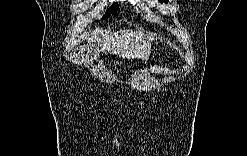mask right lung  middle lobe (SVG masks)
Listing matches in <instances>:
<instances>
[{"label": "right lung middle lobe", "mask_w": 247, "mask_h": 156, "mask_svg": "<svg viewBox=\"0 0 247 156\" xmlns=\"http://www.w3.org/2000/svg\"><path fill=\"white\" fill-rule=\"evenodd\" d=\"M116 12H117V4L116 3H113V5L105 13L103 19H107L109 16L115 15Z\"/></svg>", "instance_id": "obj_1"}]
</instances>
